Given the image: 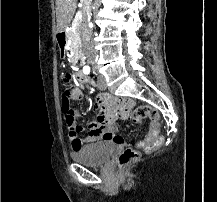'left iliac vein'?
Listing matches in <instances>:
<instances>
[{"mask_svg":"<svg viewBox=\"0 0 217 202\" xmlns=\"http://www.w3.org/2000/svg\"><path fill=\"white\" fill-rule=\"evenodd\" d=\"M98 89L100 90H106L107 85L104 79L100 78L98 85H97Z\"/></svg>","mask_w":217,"mask_h":202,"instance_id":"left-iliac-vein-1","label":"left iliac vein"}]
</instances>
